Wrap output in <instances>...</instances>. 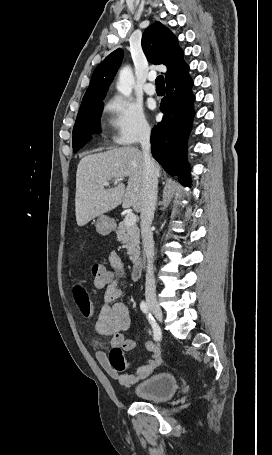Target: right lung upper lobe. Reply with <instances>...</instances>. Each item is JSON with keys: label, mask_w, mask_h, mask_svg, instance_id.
Here are the masks:
<instances>
[{"label": "right lung upper lobe", "mask_w": 272, "mask_h": 455, "mask_svg": "<svg viewBox=\"0 0 272 455\" xmlns=\"http://www.w3.org/2000/svg\"><path fill=\"white\" fill-rule=\"evenodd\" d=\"M142 48L151 63L167 66L166 83L183 76L189 70L183 59V51L178 45V39L160 22H155L145 29ZM122 59L123 51L117 49L96 67L79 111L102 103Z\"/></svg>", "instance_id": "1"}]
</instances>
